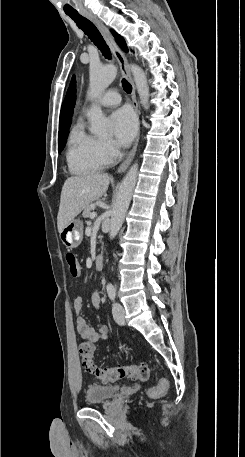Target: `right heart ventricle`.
<instances>
[{"label":"right heart ventricle","mask_w":245,"mask_h":457,"mask_svg":"<svg viewBox=\"0 0 245 457\" xmlns=\"http://www.w3.org/2000/svg\"><path fill=\"white\" fill-rule=\"evenodd\" d=\"M69 161L71 166L82 170H100L109 162L100 153L98 140L80 123L74 124L69 134Z\"/></svg>","instance_id":"obj_1"}]
</instances>
